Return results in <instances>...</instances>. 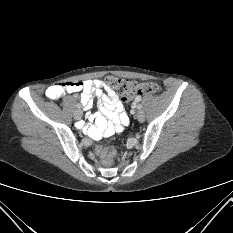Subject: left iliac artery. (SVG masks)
<instances>
[{
    "label": "left iliac artery",
    "instance_id": "left-iliac-artery-1",
    "mask_svg": "<svg viewBox=\"0 0 233 233\" xmlns=\"http://www.w3.org/2000/svg\"><path fill=\"white\" fill-rule=\"evenodd\" d=\"M140 100H141V97H140V96H137V97H136V101L139 102ZM137 108H138V109H141L142 106L139 104V105H137Z\"/></svg>",
    "mask_w": 233,
    "mask_h": 233
}]
</instances>
